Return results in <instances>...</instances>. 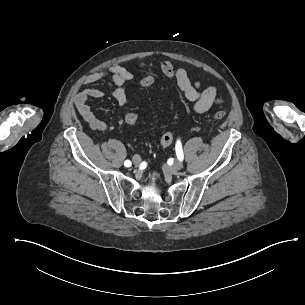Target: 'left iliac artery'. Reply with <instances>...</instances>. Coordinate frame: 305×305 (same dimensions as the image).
Segmentation results:
<instances>
[{
    "label": "left iliac artery",
    "instance_id": "left-iliac-artery-1",
    "mask_svg": "<svg viewBox=\"0 0 305 305\" xmlns=\"http://www.w3.org/2000/svg\"><path fill=\"white\" fill-rule=\"evenodd\" d=\"M175 148H176V155H177L178 159L182 161L184 158V155H183L182 145L179 140L177 141Z\"/></svg>",
    "mask_w": 305,
    "mask_h": 305
}]
</instances>
